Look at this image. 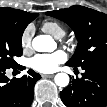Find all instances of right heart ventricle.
<instances>
[{"instance_id":"obj_1","label":"right heart ventricle","mask_w":107,"mask_h":107,"mask_svg":"<svg viewBox=\"0 0 107 107\" xmlns=\"http://www.w3.org/2000/svg\"><path fill=\"white\" fill-rule=\"evenodd\" d=\"M44 32L52 35L53 37L59 39L66 34V28L57 21H46L42 25Z\"/></svg>"}]
</instances>
